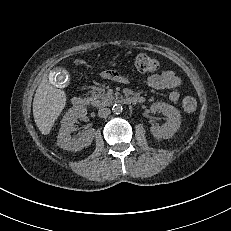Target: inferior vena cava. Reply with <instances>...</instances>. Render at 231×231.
Instances as JSON below:
<instances>
[{"label": "inferior vena cava", "mask_w": 231, "mask_h": 231, "mask_svg": "<svg viewBox=\"0 0 231 231\" xmlns=\"http://www.w3.org/2000/svg\"><path fill=\"white\" fill-rule=\"evenodd\" d=\"M110 109L109 108H101L98 110V116L101 118H106L110 114Z\"/></svg>", "instance_id": "602c4592"}]
</instances>
